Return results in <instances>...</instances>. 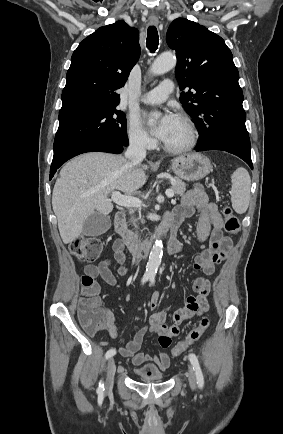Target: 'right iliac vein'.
Instances as JSON below:
<instances>
[{"mask_svg": "<svg viewBox=\"0 0 283 434\" xmlns=\"http://www.w3.org/2000/svg\"><path fill=\"white\" fill-rule=\"evenodd\" d=\"M116 370L115 361L113 358H110L107 366V377L105 383V390L110 391L113 386L114 374Z\"/></svg>", "mask_w": 283, "mask_h": 434, "instance_id": "right-iliac-vein-1", "label": "right iliac vein"}]
</instances>
